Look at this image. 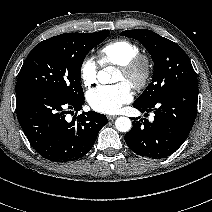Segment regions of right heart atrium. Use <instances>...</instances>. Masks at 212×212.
Wrapping results in <instances>:
<instances>
[{"label":"right heart atrium","instance_id":"d8ad5b80","mask_svg":"<svg viewBox=\"0 0 212 212\" xmlns=\"http://www.w3.org/2000/svg\"><path fill=\"white\" fill-rule=\"evenodd\" d=\"M79 75L83 85L89 87L96 83L98 78V66L92 58H85L79 68Z\"/></svg>","mask_w":212,"mask_h":212}]
</instances>
